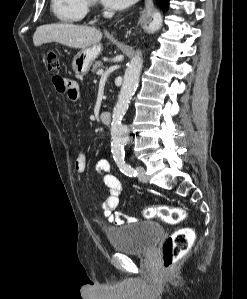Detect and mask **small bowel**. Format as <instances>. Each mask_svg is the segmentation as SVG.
<instances>
[{"label": "small bowel", "instance_id": "c3829d8e", "mask_svg": "<svg viewBox=\"0 0 247 299\" xmlns=\"http://www.w3.org/2000/svg\"><path fill=\"white\" fill-rule=\"evenodd\" d=\"M53 84L58 92L64 93L69 100L76 102L79 98L78 84L62 76H54ZM75 169L78 173H84L87 169V159L83 152H80L75 160ZM96 171L101 176L103 183L108 187L109 194L101 206L106 217L114 224H124L125 219L115 215L114 211L119 205L122 194V183L111 172V166L107 159H100L96 164ZM129 221L134 222L136 218L131 217Z\"/></svg>", "mask_w": 247, "mask_h": 299}]
</instances>
